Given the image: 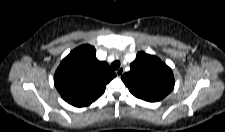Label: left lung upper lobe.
Listing matches in <instances>:
<instances>
[{"mask_svg": "<svg viewBox=\"0 0 225 132\" xmlns=\"http://www.w3.org/2000/svg\"><path fill=\"white\" fill-rule=\"evenodd\" d=\"M131 94L149 102L166 97L174 88L173 72L153 55L137 53L130 71L121 77Z\"/></svg>", "mask_w": 225, "mask_h": 132, "instance_id": "5c2ea615", "label": "left lung upper lobe"}]
</instances>
